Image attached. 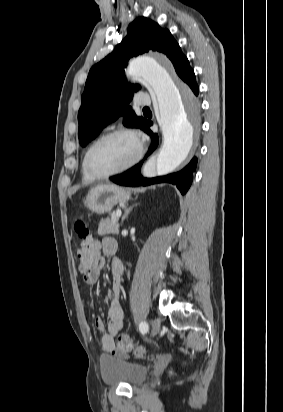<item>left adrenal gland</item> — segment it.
Returning <instances> with one entry per match:
<instances>
[{
  "instance_id": "a2214340",
  "label": "left adrenal gland",
  "mask_w": 283,
  "mask_h": 412,
  "mask_svg": "<svg viewBox=\"0 0 283 412\" xmlns=\"http://www.w3.org/2000/svg\"><path fill=\"white\" fill-rule=\"evenodd\" d=\"M135 206H137V204H135V205H133V206H130V207H125V209H124V215H123V217H122V219H121V226L123 225V222L125 221V219L128 218L129 213L132 211V209H133Z\"/></svg>"
}]
</instances>
